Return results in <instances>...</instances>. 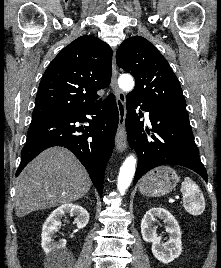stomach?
Segmentation results:
<instances>
[{
  "label": "stomach",
  "mask_w": 221,
  "mask_h": 268,
  "mask_svg": "<svg viewBox=\"0 0 221 268\" xmlns=\"http://www.w3.org/2000/svg\"><path fill=\"white\" fill-rule=\"evenodd\" d=\"M178 181L179 177L173 168L161 166L150 171L141 179L139 191L146 196H163L172 191Z\"/></svg>",
  "instance_id": "stomach-1"
}]
</instances>
